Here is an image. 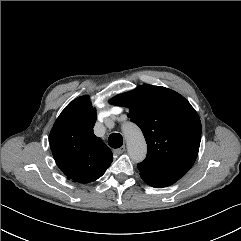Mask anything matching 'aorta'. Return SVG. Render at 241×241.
<instances>
[{
	"instance_id": "1",
	"label": "aorta",
	"mask_w": 241,
	"mask_h": 241,
	"mask_svg": "<svg viewBox=\"0 0 241 241\" xmlns=\"http://www.w3.org/2000/svg\"><path fill=\"white\" fill-rule=\"evenodd\" d=\"M123 133L126 138L127 150L131 159L135 162L144 160L147 146L139 127L133 123H127L123 126Z\"/></svg>"
}]
</instances>
